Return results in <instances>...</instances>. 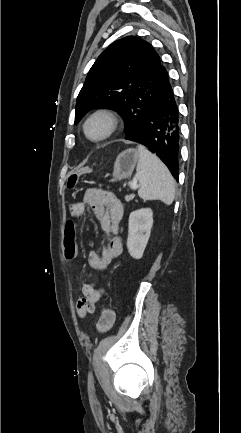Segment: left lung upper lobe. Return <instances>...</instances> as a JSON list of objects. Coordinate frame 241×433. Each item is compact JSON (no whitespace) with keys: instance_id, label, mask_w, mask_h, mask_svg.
Here are the masks:
<instances>
[{"instance_id":"1","label":"left lung upper lobe","mask_w":241,"mask_h":433,"mask_svg":"<svg viewBox=\"0 0 241 433\" xmlns=\"http://www.w3.org/2000/svg\"><path fill=\"white\" fill-rule=\"evenodd\" d=\"M167 79L166 68L148 42L133 36L117 40L91 67L77 98L75 124L90 109L110 106L125 117L128 135L162 95Z\"/></svg>"}]
</instances>
